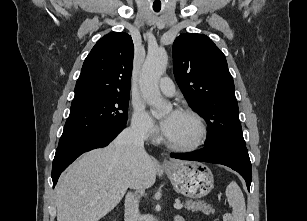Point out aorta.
Wrapping results in <instances>:
<instances>
[{"mask_svg": "<svg viewBox=\"0 0 307 221\" xmlns=\"http://www.w3.org/2000/svg\"><path fill=\"white\" fill-rule=\"evenodd\" d=\"M168 55L163 49L150 50L142 67L139 86L146 102L156 108L155 117L160 118L171 109L159 90V79L166 71Z\"/></svg>", "mask_w": 307, "mask_h": 221, "instance_id": "762f6f07", "label": "aorta"}]
</instances>
